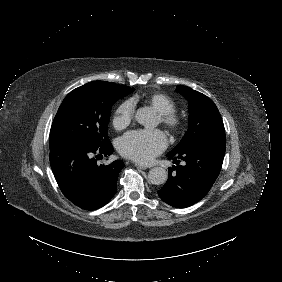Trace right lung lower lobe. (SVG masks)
I'll list each match as a JSON object with an SVG mask.
<instances>
[{
    "label": "right lung lower lobe",
    "mask_w": 282,
    "mask_h": 282,
    "mask_svg": "<svg viewBox=\"0 0 282 282\" xmlns=\"http://www.w3.org/2000/svg\"><path fill=\"white\" fill-rule=\"evenodd\" d=\"M112 152L110 142L97 145L73 141L50 149L55 179L63 194L76 206L95 210L114 196L119 172L125 165L121 160L97 165L96 160Z\"/></svg>",
    "instance_id": "98d812e1"
}]
</instances>
